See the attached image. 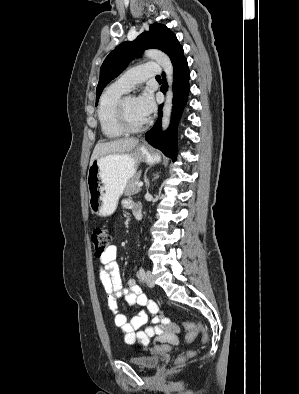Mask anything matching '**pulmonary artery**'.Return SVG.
Returning a JSON list of instances; mask_svg holds the SVG:
<instances>
[{
    "instance_id": "pulmonary-artery-1",
    "label": "pulmonary artery",
    "mask_w": 299,
    "mask_h": 394,
    "mask_svg": "<svg viewBox=\"0 0 299 394\" xmlns=\"http://www.w3.org/2000/svg\"><path fill=\"white\" fill-rule=\"evenodd\" d=\"M160 73L161 69L158 64H143L123 73L117 79L116 84L124 90L130 91L134 86L148 78L156 77Z\"/></svg>"
}]
</instances>
